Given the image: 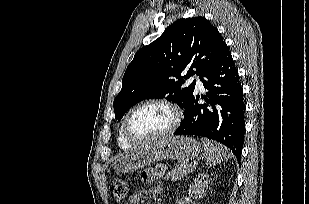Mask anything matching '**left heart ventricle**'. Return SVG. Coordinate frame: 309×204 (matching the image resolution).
<instances>
[{"mask_svg":"<svg viewBox=\"0 0 309 204\" xmlns=\"http://www.w3.org/2000/svg\"><path fill=\"white\" fill-rule=\"evenodd\" d=\"M171 122L172 113L167 107L150 104L139 108L132 114L128 128L133 136L145 138L163 132Z\"/></svg>","mask_w":309,"mask_h":204,"instance_id":"b2bd125f","label":"left heart ventricle"}]
</instances>
